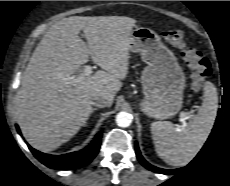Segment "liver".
Here are the masks:
<instances>
[{
    "instance_id": "1",
    "label": "liver",
    "mask_w": 230,
    "mask_h": 186,
    "mask_svg": "<svg viewBox=\"0 0 230 186\" xmlns=\"http://www.w3.org/2000/svg\"><path fill=\"white\" fill-rule=\"evenodd\" d=\"M135 23L126 16H71L45 33L15 99L18 124L33 148L50 152L69 141L93 112L94 96L105 95L112 105L128 74ZM89 56L102 70L87 77L81 68ZM76 73L82 81L72 84Z\"/></svg>"
}]
</instances>
